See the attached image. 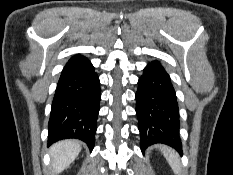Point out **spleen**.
Wrapping results in <instances>:
<instances>
[{"label":"spleen","mask_w":233,"mask_h":175,"mask_svg":"<svg viewBox=\"0 0 233 175\" xmlns=\"http://www.w3.org/2000/svg\"><path fill=\"white\" fill-rule=\"evenodd\" d=\"M160 149L163 155L165 156L166 160L168 161L169 165L171 166L173 172L179 175L180 161L178 158V154L174 150L166 146H160Z\"/></svg>","instance_id":"spleen-1"}]
</instances>
